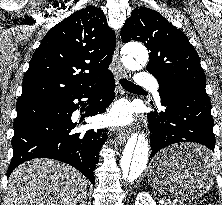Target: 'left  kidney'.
<instances>
[{
    "mask_svg": "<svg viewBox=\"0 0 222 205\" xmlns=\"http://www.w3.org/2000/svg\"><path fill=\"white\" fill-rule=\"evenodd\" d=\"M134 205H156V203L147 192H141L137 195Z\"/></svg>",
    "mask_w": 222,
    "mask_h": 205,
    "instance_id": "obj_1",
    "label": "left kidney"
}]
</instances>
